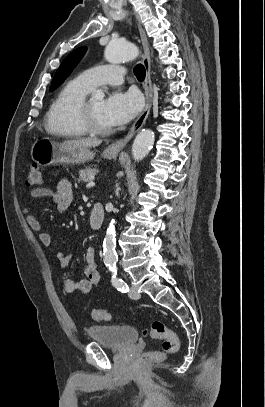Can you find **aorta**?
Instances as JSON below:
<instances>
[{"instance_id":"aorta-1","label":"aorta","mask_w":265,"mask_h":407,"mask_svg":"<svg viewBox=\"0 0 265 407\" xmlns=\"http://www.w3.org/2000/svg\"><path fill=\"white\" fill-rule=\"evenodd\" d=\"M138 56V48L130 42H122L112 39L105 48L104 57L109 63H120L134 60ZM94 99L104 98L102 91H95L92 95ZM154 144V132L150 129H143L138 133L132 145V156L135 161H141L149 153ZM115 229L113 220L107 229L103 242L104 263L111 272H116L117 255L115 251Z\"/></svg>"}]
</instances>
